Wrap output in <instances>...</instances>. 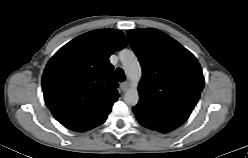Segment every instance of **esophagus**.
Segmentation results:
<instances>
[{"label":"esophagus","instance_id":"obj_1","mask_svg":"<svg viewBox=\"0 0 248 158\" xmlns=\"http://www.w3.org/2000/svg\"><path fill=\"white\" fill-rule=\"evenodd\" d=\"M120 86H121V90L123 92H125L128 89V87H129V82L128 81H125V82L121 83Z\"/></svg>","mask_w":248,"mask_h":158}]
</instances>
